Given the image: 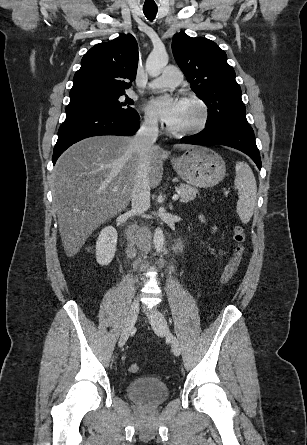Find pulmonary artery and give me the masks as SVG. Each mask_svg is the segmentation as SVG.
I'll list each match as a JSON object with an SVG mask.
<instances>
[{"label": "pulmonary artery", "instance_id": "1", "mask_svg": "<svg viewBox=\"0 0 307 445\" xmlns=\"http://www.w3.org/2000/svg\"><path fill=\"white\" fill-rule=\"evenodd\" d=\"M183 72L177 67L169 66L164 69L161 77L150 84L151 89H157L161 87H167L176 83H181Z\"/></svg>", "mask_w": 307, "mask_h": 445}]
</instances>
